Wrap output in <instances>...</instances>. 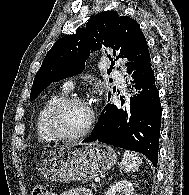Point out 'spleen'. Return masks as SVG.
Returning <instances> with one entry per match:
<instances>
[{
	"label": "spleen",
	"mask_w": 189,
	"mask_h": 195,
	"mask_svg": "<svg viewBox=\"0 0 189 195\" xmlns=\"http://www.w3.org/2000/svg\"><path fill=\"white\" fill-rule=\"evenodd\" d=\"M141 163L142 159L136 153L125 151L120 162V168L124 172H131L137 170Z\"/></svg>",
	"instance_id": "1"
}]
</instances>
